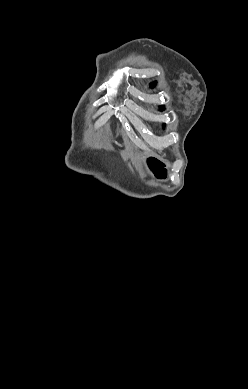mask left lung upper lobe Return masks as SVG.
Returning a JSON list of instances; mask_svg holds the SVG:
<instances>
[{
  "mask_svg": "<svg viewBox=\"0 0 248 389\" xmlns=\"http://www.w3.org/2000/svg\"><path fill=\"white\" fill-rule=\"evenodd\" d=\"M155 85V82L151 85V87H153ZM164 109V107L162 106L161 107V110H163Z\"/></svg>",
  "mask_w": 248,
  "mask_h": 389,
  "instance_id": "1",
  "label": "left lung upper lobe"
}]
</instances>
